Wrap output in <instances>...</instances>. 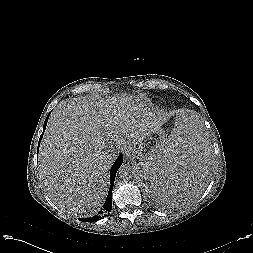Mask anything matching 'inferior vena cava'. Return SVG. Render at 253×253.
<instances>
[{"label":"inferior vena cava","instance_id":"602c4592","mask_svg":"<svg viewBox=\"0 0 253 253\" xmlns=\"http://www.w3.org/2000/svg\"><path fill=\"white\" fill-rule=\"evenodd\" d=\"M114 151H116V148H112L109 150V152H114Z\"/></svg>","mask_w":253,"mask_h":253}]
</instances>
